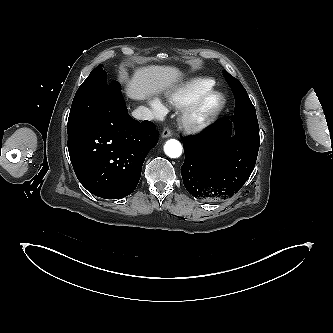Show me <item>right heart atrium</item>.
Masks as SVG:
<instances>
[{"label":"right heart atrium","instance_id":"right-heart-atrium-1","mask_svg":"<svg viewBox=\"0 0 333 333\" xmlns=\"http://www.w3.org/2000/svg\"><path fill=\"white\" fill-rule=\"evenodd\" d=\"M151 106L158 115L164 112L163 105L157 99L151 101Z\"/></svg>","mask_w":333,"mask_h":333}]
</instances>
